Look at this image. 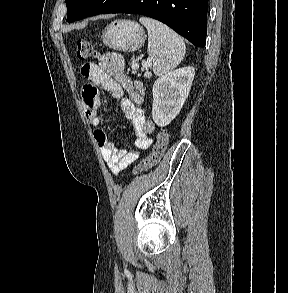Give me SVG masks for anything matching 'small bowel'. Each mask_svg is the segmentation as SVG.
I'll list each match as a JSON object with an SVG mask.
<instances>
[{
  "label": "small bowel",
  "mask_w": 288,
  "mask_h": 293,
  "mask_svg": "<svg viewBox=\"0 0 288 293\" xmlns=\"http://www.w3.org/2000/svg\"><path fill=\"white\" fill-rule=\"evenodd\" d=\"M100 60V64L85 63L81 67L82 75L91 82L83 87L82 103L88 123L95 127L94 138L102 157L110 171L117 174L152 145L150 135L154 132L155 125L142 108L145 99L143 86L141 82L133 81L124 73L122 56L115 53L104 54ZM97 87L110 92L119 101L123 115L131 120L136 133L134 150L118 149L103 130L104 122L99 114L101 100Z\"/></svg>",
  "instance_id": "small-bowel-1"
}]
</instances>
